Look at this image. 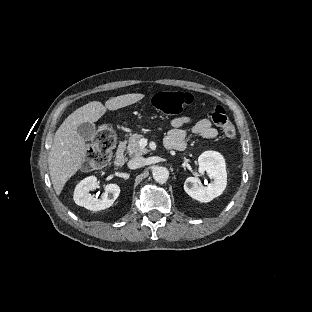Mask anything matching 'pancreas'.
<instances>
[{"instance_id": "1", "label": "pancreas", "mask_w": 312, "mask_h": 312, "mask_svg": "<svg viewBox=\"0 0 312 312\" xmlns=\"http://www.w3.org/2000/svg\"><path fill=\"white\" fill-rule=\"evenodd\" d=\"M143 138L144 136L139 133H135L130 136L126 152L128 156H140L149 152L147 149L139 146V141Z\"/></svg>"}]
</instances>
